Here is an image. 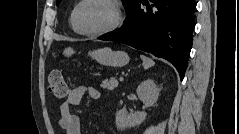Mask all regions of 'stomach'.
I'll use <instances>...</instances> for the list:
<instances>
[{
	"mask_svg": "<svg viewBox=\"0 0 239 134\" xmlns=\"http://www.w3.org/2000/svg\"><path fill=\"white\" fill-rule=\"evenodd\" d=\"M74 50L67 48L63 54L67 57L74 54ZM89 56L104 66L122 67L128 64L129 56L123 51H113L109 47L99 48L89 52Z\"/></svg>",
	"mask_w": 239,
	"mask_h": 134,
	"instance_id": "obj_1",
	"label": "stomach"
}]
</instances>
